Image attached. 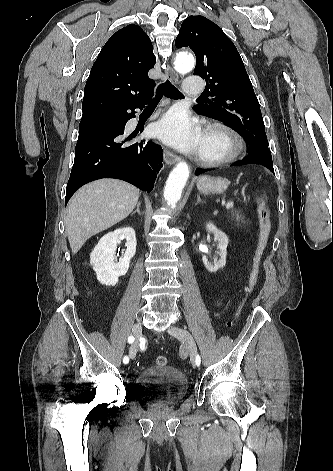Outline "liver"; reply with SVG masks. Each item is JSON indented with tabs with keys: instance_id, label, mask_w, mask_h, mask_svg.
<instances>
[{
	"instance_id": "liver-1",
	"label": "liver",
	"mask_w": 333,
	"mask_h": 471,
	"mask_svg": "<svg viewBox=\"0 0 333 471\" xmlns=\"http://www.w3.org/2000/svg\"><path fill=\"white\" fill-rule=\"evenodd\" d=\"M140 191L117 179H100L83 186L70 200L65 229L73 254L93 235L124 220L135 208Z\"/></svg>"
}]
</instances>
